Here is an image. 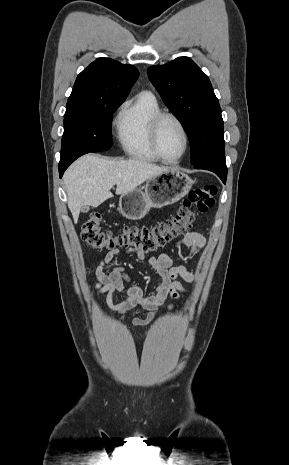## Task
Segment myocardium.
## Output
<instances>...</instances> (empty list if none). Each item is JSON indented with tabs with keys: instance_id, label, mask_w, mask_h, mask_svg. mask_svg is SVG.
I'll use <instances>...</instances> for the list:
<instances>
[{
	"instance_id": "1",
	"label": "myocardium",
	"mask_w": 289,
	"mask_h": 465,
	"mask_svg": "<svg viewBox=\"0 0 289 465\" xmlns=\"http://www.w3.org/2000/svg\"><path fill=\"white\" fill-rule=\"evenodd\" d=\"M166 119H172L177 123V125L180 127L183 136H184V149L183 152L175 159H167L164 157V155L161 152L160 149V131H161V126ZM150 142H151V147L154 152V154L157 156L159 160H161L164 163L167 164H175L179 162L188 152L189 146H190V137L188 130L183 123V121L175 114L171 112H159L155 117L153 118L150 126Z\"/></svg>"
}]
</instances>
